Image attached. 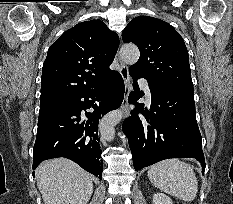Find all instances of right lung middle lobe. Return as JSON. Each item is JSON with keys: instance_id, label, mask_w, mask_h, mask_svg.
I'll list each match as a JSON object with an SVG mask.
<instances>
[{"instance_id": "dd1d6c3e", "label": "right lung middle lobe", "mask_w": 233, "mask_h": 204, "mask_svg": "<svg viewBox=\"0 0 233 204\" xmlns=\"http://www.w3.org/2000/svg\"><path fill=\"white\" fill-rule=\"evenodd\" d=\"M68 100H59L40 104L39 121L43 120L67 105Z\"/></svg>"}]
</instances>
